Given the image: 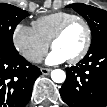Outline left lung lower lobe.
<instances>
[{
  "instance_id": "0a47b994",
  "label": "left lung lower lobe",
  "mask_w": 107,
  "mask_h": 107,
  "mask_svg": "<svg viewBox=\"0 0 107 107\" xmlns=\"http://www.w3.org/2000/svg\"><path fill=\"white\" fill-rule=\"evenodd\" d=\"M66 72L60 89L66 104L70 107L107 106V39L90 46L86 56Z\"/></svg>"
}]
</instances>
